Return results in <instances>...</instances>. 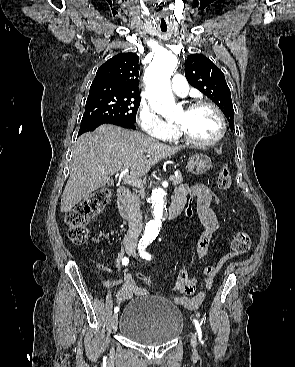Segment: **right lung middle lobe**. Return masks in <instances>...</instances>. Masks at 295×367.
<instances>
[{
    "label": "right lung middle lobe",
    "mask_w": 295,
    "mask_h": 367,
    "mask_svg": "<svg viewBox=\"0 0 295 367\" xmlns=\"http://www.w3.org/2000/svg\"><path fill=\"white\" fill-rule=\"evenodd\" d=\"M140 105L139 97L115 95L105 92H89L81 127L92 123L127 120L136 122Z\"/></svg>",
    "instance_id": "right-lung-middle-lobe-1"
}]
</instances>
